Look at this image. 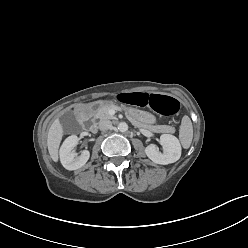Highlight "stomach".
<instances>
[{
  "mask_svg": "<svg viewBox=\"0 0 248 248\" xmlns=\"http://www.w3.org/2000/svg\"><path fill=\"white\" fill-rule=\"evenodd\" d=\"M103 106H111L113 108H118L124 113H127L130 118H137L143 122L146 123H154L155 118L153 115L144 112V111H135L134 109H131L130 107L124 105L122 102L111 100V99H102L94 102L89 106V109L91 111H94L100 107Z\"/></svg>",
  "mask_w": 248,
  "mask_h": 248,
  "instance_id": "0dacf381",
  "label": "stomach"
}]
</instances>
